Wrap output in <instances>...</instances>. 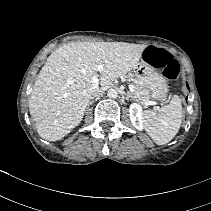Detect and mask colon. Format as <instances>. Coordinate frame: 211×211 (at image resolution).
I'll use <instances>...</instances> for the list:
<instances>
[{"instance_id": "1", "label": "colon", "mask_w": 211, "mask_h": 211, "mask_svg": "<svg viewBox=\"0 0 211 211\" xmlns=\"http://www.w3.org/2000/svg\"><path fill=\"white\" fill-rule=\"evenodd\" d=\"M144 57L150 65L160 69L165 78L174 80L178 77L180 66L168 51L161 48L149 47L146 49Z\"/></svg>"}]
</instances>
